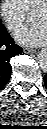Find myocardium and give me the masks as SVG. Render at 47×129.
Returning <instances> with one entry per match:
<instances>
[{
	"mask_svg": "<svg viewBox=\"0 0 47 129\" xmlns=\"http://www.w3.org/2000/svg\"><path fill=\"white\" fill-rule=\"evenodd\" d=\"M37 10H44L46 15H47V0H44L41 4H39L36 8L35 11Z\"/></svg>",
	"mask_w": 47,
	"mask_h": 129,
	"instance_id": "myocardium-1",
	"label": "myocardium"
}]
</instances>
